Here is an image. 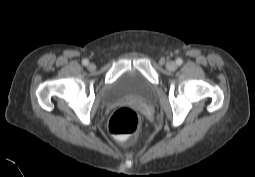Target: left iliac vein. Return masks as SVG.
I'll return each instance as SVG.
<instances>
[{
  "instance_id": "obj_1",
  "label": "left iliac vein",
  "mask_w": 255,
  "mask_h": 177,
  "mask_svg": "<svg viewBox=\"0 0 255 177\" xmlns=\"http://www.w3.org/2000/svg\"><path fill=\"white\" fill-rule=\"evenodd\" d=\"M166 66L171 71H174L177 68V64L174 61L168 62Z\"/></svg>"
}]
</instances>
